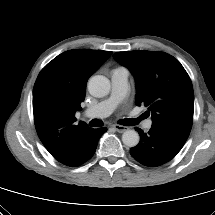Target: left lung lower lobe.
I'll use <instances>...</instances> for the list:
<instances>
[{"instance_id":"1","label":"left lung lower lobe","mask_w":215,"mask_h":215,"mask_svg":"<svg viewBox=\"0 0 215 215\" xmlns=\"http://www.w3.org/2000/svg\"><path fill=\"white\" fill-rule=\"evenodd\" d=\"M135 129L140 135V142L130 149V154L145 166L165 164L173 159L184 145L155 128H151L147 133L138 127Z\"/></svg>"}]
</instances>
